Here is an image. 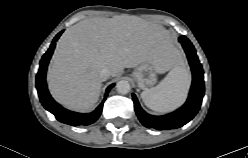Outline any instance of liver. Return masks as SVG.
<instances>
[{
  "mask_svg": "<svg viewBox=\"0 0 248 158\" xmlns=\"http://www.w3.org/2000/svg\"><path fill=\"white\" fill-rule=\"evenodd\" d=\"M171 56L179 60L163 27L137 16L117 15L82 20L59 39L48 69L50 93L56 101L75 111H88L100 95V71L112 77L124 68L149 62L159 73L161 63Z\"/></svg>",
  "mask_w": 248,
  "mask_h": 158,
  "instance_id": "1",
  "label": "liver"
}]
</instances>
